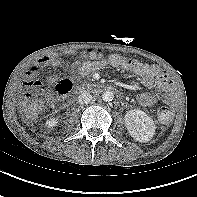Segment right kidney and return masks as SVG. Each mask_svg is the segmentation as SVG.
I'll list each match as a JSON object with an SVG mask.
<instances>
[{"instance_id":"obj_1","label":"right kidney","mask_w":197,"mask_h":197,"mask_svg":"<svg viewBox=\"0 0 197 197\" xmlns=\"http://www.w3.org/2000/svg\"><path fill=\"white\" fill-rule=\"evenodd\" d=\"M58 123V117L57 118H50L49 120H47L46 125L47 127H54L56 126V124Z\"/></svg>"}]
</instances>
